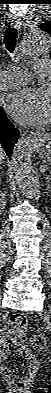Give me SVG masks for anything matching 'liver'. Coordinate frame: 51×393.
<instances>
[{
    "label": "liver",
    "instance_id": "1",
    "mask_svg": "<svg viewBox=\"0 0 51 393\" xmlns=\"http://www.w3.org/2000/svg\"><path fill=\"white\" fill-rule=\"evenodd\" d=\"M4 156H5V154L3 152V149H1V151H0V161H2L4 159Z\"/></svg>",
    "mask_w": 51,
    "mask_h": 393
}]
</instances>
